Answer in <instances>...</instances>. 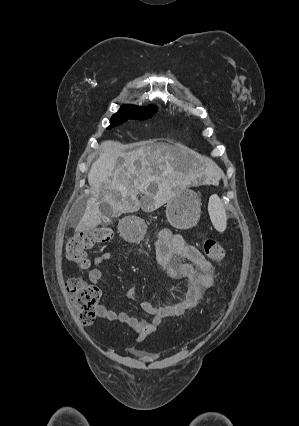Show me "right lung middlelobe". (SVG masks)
I'll list each match as a JSON object with an SVG mask.
<instances>
[{
	"label": "right lung middle lobe",
	"instance_id": "right-lung-middle-lobe-1",
	"mask_svg": "<svg viewBox=\"0 0 299 426\" xmlns=\"http://www.w3.org/2000/svg\"><path fill=\"white\" fill-rule=\"evenodd\" d=\"M156 107H149L147 109H143L134 105H125L120 108V110L115 113L110 120L109 129L112 127H116L128 119H138L144 120L151 117L155 111Z\"/></svg>",
	"mask_w": 299,
	"mask_h": 426
}]
</instances>
